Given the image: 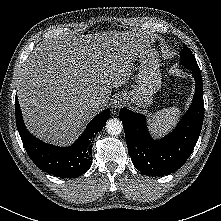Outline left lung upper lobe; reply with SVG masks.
<instances>
[{"label": "left lung upper lobe", "mask_w": 221, "mask_h": 221, "mask_svg": "<svg viewBox=\"0 0 221 221\" xmlns=\"http://www.w3.org/2000/svg\"><path fill=\"white\" fill-rule=\"evenodd\" d=\"M180 62L190 70H200L190 49L184 45L180 52Z\"/></svg>", "instance_id": "5c2ea615"}]
</instances>
